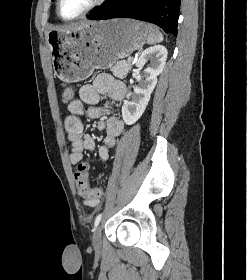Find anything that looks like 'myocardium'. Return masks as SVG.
Segmentation results:
<instances>
[{"mask_svg":"<svg viewBox=\"0 0 247 280\" xmlns=\"http://www.w3.org/2000/svg\"><path fill=\"white\" fill-rule=\"evenodd\" d=\"M61 1L62 0H57L56 11H57V15L59 16V18L64 21H74V20L80 19L106 2V0H94L90 6H88L85 10H83L77 16L72 17V18H65L61 14Z\"/></svg>","mask_w":247,"mask_h":280,"instance_id":"obj_1","label":"myocardium"}]
</instances>
